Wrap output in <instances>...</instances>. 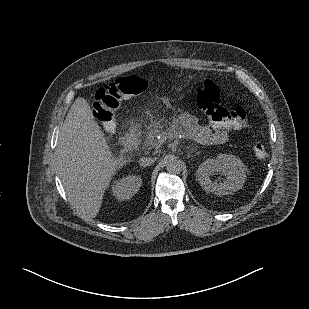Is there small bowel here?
I'll use <instances>...</instances> for the list:
<instances>
[{
    "instance_id": "1",
    "label": "small bowel",
    "mask_w": 309,
    "mask_h": 309,
    "mask_svg": "<svg viewBox=\"0 0 309 309\" xmlns=\"http://www.w3.org/2000/svg\"><path fill=\"white\" fill-rule=\"evenodd\" d=\"M185 130L191 140L203 144H222L228 141L230 129L200 124L195 116L184 119Z\"/></svg>"
}]
</instances>
